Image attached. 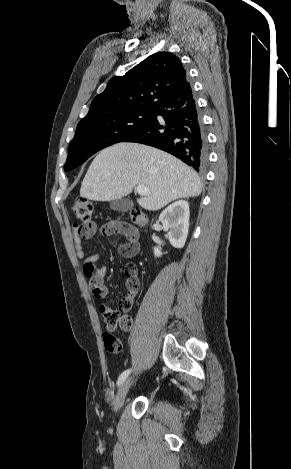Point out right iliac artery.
Segmentation results:
<instances>
[{"mask_svg": "<svg viewBox=\"0 0 291 469\" xmlns=\"http://www.w3.org/2000/svg\"><path fill=\"white\" fill-rule=\"evenodd\" d=\"M130 369L122 372L118 378V381H117V385L119 386L120 384H122V382L127 378V376L129 375L130 373Z\"/></svg>", "mask_w": 291, "mask_h": 469, "instance_id": "right-iliac-artery-1", "label": "right iliac artery"}]
</instances>
